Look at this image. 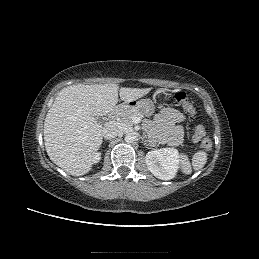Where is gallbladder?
<instances>
[{"instance_id":"obj_1","label":"gallbladder","mask_w":259,"mask_h":259,"mask_svg":"<svg viewBox=\"0 0 259 259\" xmlns=\"http://www.w3.org/2000/svg\"><path fill=\"white\" fill-rule=\"evenodd\" d=\"M96 120H97L98 123H101V122H103V117L97 116Z\"/></svg>"}]
</instances>
